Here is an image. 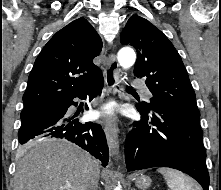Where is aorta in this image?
<instances>
[{
  "label": "aorta",
  "mask_w": 221,
  "mask_h": 190,
  "mask_svg": "<svg viewBox=\"0 0 221 190\" xmlns=\"http://www.w3.org/2000/svg\"><path fill=\"white\" fill-rule=\"evenodd\" d=\"M119 64L124 68L127 69L131 67L136 60V54L134 50L130 47H124L120 49L117 56ZM114 190H121V186L118 185L114 188Z\"/></svg>",
  "instance_id": "obj_1"
}]
</instances>
